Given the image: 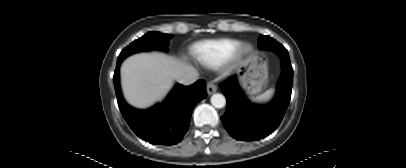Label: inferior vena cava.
Listing matches in <instances>:
<instances>
[{
    "instance_id": "inferior-vena-cava-1",
    "label": "inferior vena cava",
    "mask_w": 406,
    "mask_h": 168,
    "mask_svg": "<svg viewBox=\"0 0 406 168\" xmlns=\"http://www.w3.org/2000/svg\"><path fill=\"white\" fill-rule=\"evenodd\" d=\"M198 78H199V73L193 67H189L177 75V81L184 85H190V84L196 82L198 80Z\"/></svg>"
}]
</instances>
